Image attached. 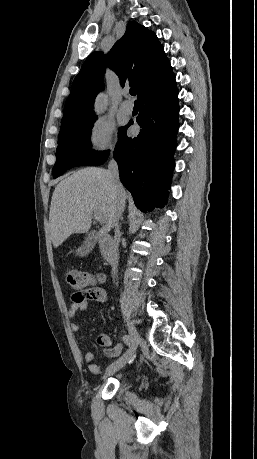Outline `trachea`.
I'll return each mask as SVG.
<instances>
[{
    "label": "trachea",
    "instance_id": "obj_1",
    "mask_svg": "<svg viewBox=\"0 0 257 459\" xmlns=\"http://www.w3.org/2000/svg\"><path fill=\"white\" fill-rule=\"evenodd\" d=\"M129 92H130V94H131L132 96H135V95H136V90H135V89H130Z\"/></svg>",
    "mask_w": 257,
    "mask_h": 459
}]
</instances>
